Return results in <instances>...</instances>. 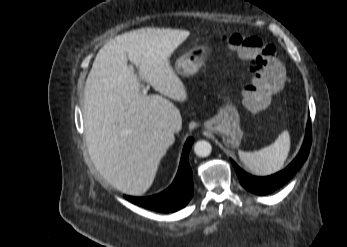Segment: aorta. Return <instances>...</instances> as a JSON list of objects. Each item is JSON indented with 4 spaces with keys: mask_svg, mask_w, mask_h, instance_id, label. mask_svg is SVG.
<instances>
[{
    "mask_svg": "<svg viewBox=\"0 0 347 247\" xmlns=\"http://www.w3.org/2000/svg\"><path fill=\"white\" fill-rule=\"evenodd\" d=\"M212 146L208 141L200 140L194 146V152L199 157H207L210 155Z\"/></svg>",
    "mask_w": 347,
    "mask_h": 247,
    "instance_id": "1",
    "label": "aorta"
}]
</instances>
